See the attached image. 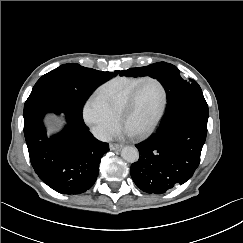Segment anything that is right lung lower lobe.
Listing matches in <instances>:
<instances>
[{
    "instance_id": "right-lung-lower-lobe-1",
    "label": "right lung lower lobe",
    "mask_w": 243,
    "mask_h": 243,
    "mask_svg": "<svg viewBox=\"0 0 243 243\" xmlns=\"http://www.w3.org/2000/svg\"><path fill=\"white\" fill-rule=\"evenodd\" d=\"M64 113L67 126L48 137L43 118ZM24 136L30 162L39 178L62 194H80L97 179L108 143L97 140L84 124L82 110L51 94L31 93L24 105Z\"/></svg>"
}]
</instances>
